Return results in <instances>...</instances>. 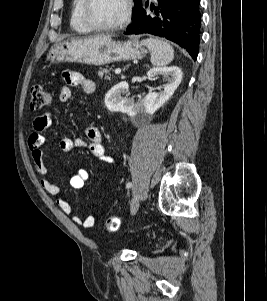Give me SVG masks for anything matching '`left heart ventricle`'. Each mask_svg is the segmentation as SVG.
Returning a JSON list of instances; mask_svg holds the SVG:
<instances>
[{
	"mask_svg": "<svg viewBox=\"0 0 267 301\" xmlns=\"http://www.w3.org/2000/svg\"><path fill=\"white\" fill-rule=\"evenodd\" d=\"M124 8V0H93L90 13L97 23L109 25L120 20Z\"/></svg>",
	"mask_w": 267,
	"mask_h": 301,
	"instance_id": "1",
	"label": "left heart ventricle"
}]
</instances>
